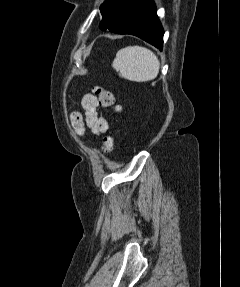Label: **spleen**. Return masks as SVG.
Listing matches in <instances>:
<instances>
[{"label":"spleen","mask_w":240,"mask_h":287,"mask_svg":"<svg viewBox=\"0 0 240 287\" xmlns=\"http://www.w3.org/2000/svg\"><path fill=\"white\" fill-rule=\"evenodd\" d=\"M112 67L124 79L146 82L157 77L160 62L151 50L135 45L120 49L113 60Z\"/></svg>","instance_id":"spleen-1"}]
</instances>
